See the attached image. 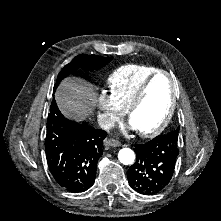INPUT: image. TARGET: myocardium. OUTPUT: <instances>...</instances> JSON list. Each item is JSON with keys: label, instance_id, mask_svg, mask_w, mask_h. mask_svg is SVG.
I'll use <instances>...</instances> for the list:
<instances>
[{"label": "myocardium", "instance_id": "f54148a6", "mask_svg": "<svg viewBox=\"0 0 221 221\" xmlns=\"http://www.w3.org/2000/svg\"><path fill=\"white\" fill-rule=\"evenodd\" d=\"M167 76L170 84H171V101L169 105V109L165 115V118L163 121L154 129L146 130V131H138L139 134L143 137H154L159 135L169 124L177 103V97L174 89V77L165 70H157L154 72L137 90L134 98L130 101V103L127 105L125 112L127 113L129 119H132L133 113L136 111L137 108H139L142 103L144 102L146 95L148 93V90L151 86V84L154 82V80L159 76Z\"/></svg>", "mask_w": 221, "mask_h": 221}]
</instances>
